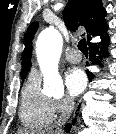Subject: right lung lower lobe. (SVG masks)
<instances>
[{
	"instance_id": "obj_1",
	"label": "right lung lower lobe",
	"mask_w": 116,
	"mask_h": 134,
	"mask_svg": "<svg viewBox=\"0 0 116 134\" xmlns=\"http://www.w3.org/2000/svg\"><path fill=\"white\" fill-rule=\"evenodd\" d=\"M101 39H102V42L98 45L94 43H89L90 61L92 63H99L98 59L100 58V56L96 57V54H99V55L102 54L103 56H106L107 54L106 47L109 44L108 34L106 32L103 33L101 35ZM87 75L90 81L94 78V75L89 71H87ZM70 128H71V125H67L65 130L69 132Z\"/></svg>"
}]
</instances>
